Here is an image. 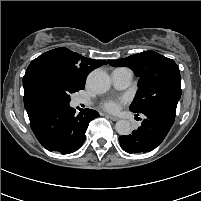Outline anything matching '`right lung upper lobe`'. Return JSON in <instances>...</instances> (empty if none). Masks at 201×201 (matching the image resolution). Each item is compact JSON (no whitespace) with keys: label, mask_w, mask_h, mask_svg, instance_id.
I'll return each mask as SVG.
<instances>
[{"label":"right lung upper lobe","mask_w":201,"mask_h":201,"mask_svg":"<svg viewBox=\"0 0 201 201\" xmlns=\"http://www.w3.org/2000/svg\"><path fill=\"white\" fill-rule=\"evenodd\" d=\"M52 64L60 68L70 79L85 85L87 75L93 69L107 64V61L92 60L82 57L67 48H57L43 53L34 59L28 66L23 77L24 93L28 92V80L30 75L39 67Z\"/></svg>","instance_id":"obj_1"}]
</instances>
